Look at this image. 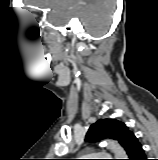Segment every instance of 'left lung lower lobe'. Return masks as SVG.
I'll return each instance as SVG.
<instances>
[{"label":"left lung lower lobe","instance_id":"obj_1","mask_svg":"<svg viewBox=\"0 0 158 160\" xmlns=\"http://www.w3.org/2000/svg\"><path fill=\"white\" fill-rule=\"evenodd\" d=\"M124 149L127 160H147L142 145L133 133L128 137Z\"/></svg>","mask_w":158,"mask_h":160}]
</instances>
